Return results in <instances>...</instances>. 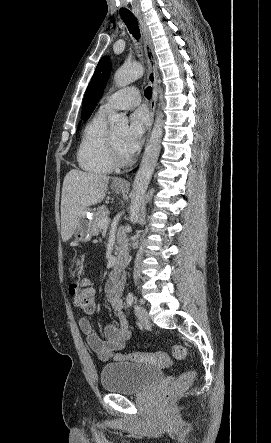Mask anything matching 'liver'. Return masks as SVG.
Here are the masks:
<instances>
[{
  "label": "liver",
  "instance_id": "1",
  "mask_svg": "<svg viewBox=\"0 0 271 443\" xmlns=\"http://www.w3.org/2000/svg\"><path fill=\"white\" fill-rule=\"evenodd\" d=\"M108 176L87 174L80 170H70L63 182L61 196V235L63 241L72 237L80 218L88 206H95L104 200L107 192Z\"/></svg>",
  "mask_w": 271,
  "mask_h": 443
}]
</instances>
